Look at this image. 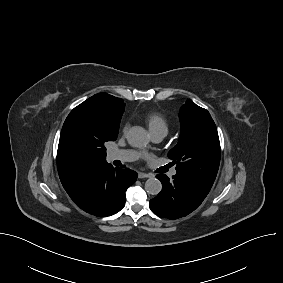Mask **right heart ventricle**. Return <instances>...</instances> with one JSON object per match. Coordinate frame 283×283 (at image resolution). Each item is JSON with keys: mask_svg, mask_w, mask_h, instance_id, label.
<instances>
[{"mask_svg": "<svg viewBox=\"0 0 283 283\" xmlns=\"http://www.w3.org/2000/svg\"><path fill=\"white\" fill-rule=\"evenodd\" d=\"M145 121L151 133L165 132L167 134L169 125L162 114L157 112L149 113L145 116Z\"/></svg>", "mask_w": 283, "mask_h": 283, "instance_id": "obj_1", "label": "right heart ventricle"}]
</instances>
